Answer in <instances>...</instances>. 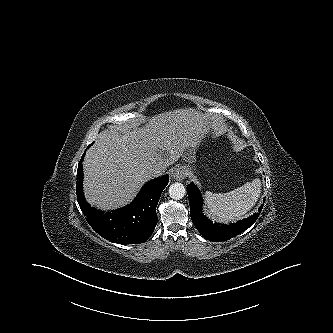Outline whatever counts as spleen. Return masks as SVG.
<instances>
[{
	"label": "spleen",
	"mask_w": 333,
	"mask_h": 333,
	"mask_svg": "<svg viewBox=\"0 0 333 333\" xmlns=\"http://www.w3.org/2000/svg\"><path fill=\"white\" fill-rule=\"evenodd\" d=\"M261 193V181L256 178L227 193L206 191L205 200L210 212L223 221L242 219L256 204Z\"/></svg>",
	"instance_id": "3e777b00"
}]
</instances>
